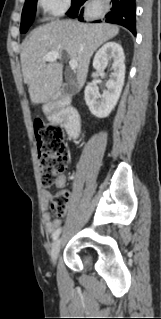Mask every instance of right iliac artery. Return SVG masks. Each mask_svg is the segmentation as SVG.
<instances>
[{
    "label": "right iliac artery",
    "mask_w": 161,
    "mask_h": 319,
    "mask_svg": "<svg viewBox=\"0 0 161 319\" xmlns=\"http://www.w3.org/2000/svg\"><path fill=\"white\" fill-rule=\"evenodd\" d=\"M62 228H58L52 235L53 240L55 241L61 233Z\"/></svg>",
    "instance_id": "1"
}]
</instances>
